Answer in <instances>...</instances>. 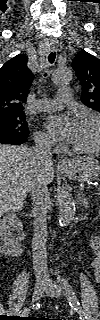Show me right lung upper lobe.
<instances>
[{
    "mask_svg": "<svg viewBox=\"0 0 100 320\" xmlns=\"http://www.w3.org/2000/svg\"><path fill=\"white\" fill-rule=\"evenodd\" d=\"M28 58L18 54L0 69V119L24 117L23 103L33 80Z\"/></svg>",
    "mask_w": 100,
    "mask_h": 320,
    "instance_id": "1",
    "label": "right lung upper lobe"
}]
</instances>
